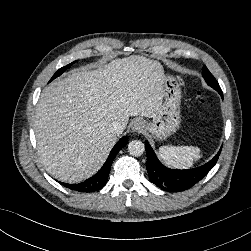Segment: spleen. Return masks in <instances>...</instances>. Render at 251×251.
<instances>
[{
    "mask_svg": "<svg viewBox=\"0 0 251 251\" xmlns=\"http://www.w3.org/2000/svg\"><path fill=\"white\" fill-rule=\"evenodd\" d=\"M158 154L165 164L180 169L192 167L194 161L201 157L200 149L193 146H161Z\"/></svg>",
    "mask_w": 251,
    "mask_h": 251,
    "instance_id": "3e777b00",
    "label": "spleen"
}]
</instances>
